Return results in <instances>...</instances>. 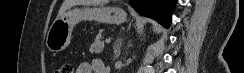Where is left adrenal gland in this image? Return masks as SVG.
Returning <instances> with one entry per match:
<instances>
[{
  "instance_id": "a2214340",
  "label": "left adrenal gland",
  "mask_w": 244,
  "mask_h": 73,
  "mask_svg": "<svg viewBox=\"0 0 244 73\" xmlns=\"http://www.w3.org/2000/svg\"><path fill=\"white\" fill-rule=\"evenodd\" d=\"M121 46H122V39H117L114 43V53H115V58H118L121 53Z\"/></svg>"
}]
</instances>
